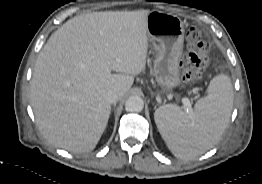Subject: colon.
<instances>
[{
  "label": "colon",
  "instance_id": "5ec220e1",
  "mask_svg": "<svg viewBox=\"0 0 262 184\" xmlns=\"http://www.w3.org/2000/svg\"><path fill=\"white\" fill-rule=\"evenodd\" d=\"M188 51L181 63L182 79L192 83L202 79L208 65L209 45L197 29H191L187 35Z\"/></svg>",
  "mask_w": 262,
  "mask_h": 184
}]
</instances>
